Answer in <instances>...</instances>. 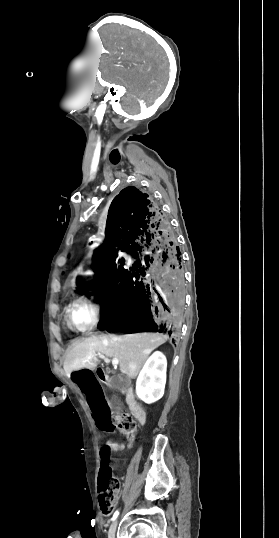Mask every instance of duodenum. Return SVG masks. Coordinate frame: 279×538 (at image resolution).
<instances>
[{"label":"duodenum","mask_w":279,"mask_h":538,"mask_svg":"<svg viewBox=\"0 0 279 538\" xmlns=\"http://www.w3.org/2000/svg\"><path fill=\"white\" fill-rule=\"evenodd\" d=\"M95 380H100L102 385L108 386L111 383V376L109 375L108 368L106 366H97L93 373ZM131 387H128L124 391L126 395L127 410L129 413L133 414V418L137 419V422L146 423V418H144V411L140 409L138 402H135L134 396L131 394ZM141 418V419H140Z\"/></svg>","instance_id":"410a0bca"}]
</instances>
